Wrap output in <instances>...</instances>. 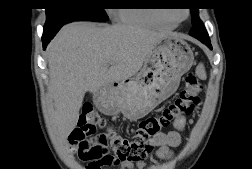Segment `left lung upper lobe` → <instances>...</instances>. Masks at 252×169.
Instances as JSON below:
<instances>
[{"mask_svg": "<svg viewBox=\"0 0 252 169\" xmlns=\"http://www.w3.org/2000/svg\"><path fill=\"white\" fill-rule=\"evenodd\" d=\"M191 16H192V28L190 32H197L198 30H206L204 24L201 22L198 16L197 8L191 9Z\"/></svg>", "mask_w": 252, "mask_h": 169, "instance_id": "obj_1", "label": "left lung upper lobe"}]
</instances>
